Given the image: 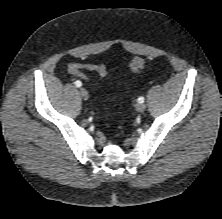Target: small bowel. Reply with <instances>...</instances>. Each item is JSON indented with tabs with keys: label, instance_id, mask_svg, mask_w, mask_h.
Here are the masks:
<instances>
[{
	"label": "small bowel",
	"instance_id": "small-bowel-1",
	"mask_svg": "<svg viewBox=\"0 0 222 219\" xmlns=\"http://www.w3.org/2000/svg\"><path fill=\"white\" fill-rule=\"evenodd\" d=\"M95 64H81V63H72L69 65V72L78 77V78H82V79H85L86 76L84 74V70H88V71H93V66Z\"/></svg>",
	"mask_w": 222,
	"mask_h": 219
}]
</instances>
